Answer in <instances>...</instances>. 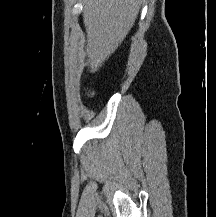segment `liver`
Returning a JSON list of instances; mask_svg holds the SVG:
<instances>
[{
  "label": "liver",
  "instance_id": "liver-1",
  "mask_svg": "<svg viewBox=\"0 0 216 217\" xmlns=\"http://www.w3.org/2000/svg\"><path fill=\"white\" fill-rule=\"evenodd\" d=\"M141 0H84L87 65L91 72L115 52L134 25Z\"/></svg>",
  "mask_w": 216,
  "mask_h": 217
}]
</instances>
